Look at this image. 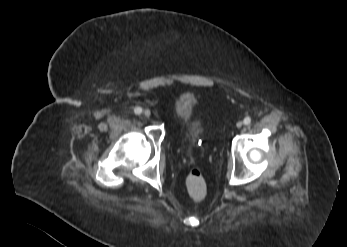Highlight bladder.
I'll list each match as a JSON object with an SVG mask.
<instances>
[{
    "label": "bladder",
    "instance_id": "obj_1",
    "mask_svg": "<svg viewBox=\"0 0 347 247\" xmlns=\"http://www.w3.org/2000/svg\"><path fill=\"white\" fill-rule=\"evenodd\" d=\"M177 113L180 121L182 122L186 130V139L189 140L195 131L194 120H193V104L192 100L183 95L177 102Z\"/></svg>",
    "mask_w": 347,
    "mask_h": 247
}]
</instances>
